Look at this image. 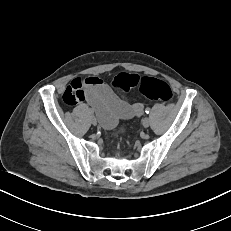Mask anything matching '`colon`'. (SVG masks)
Masks as SVG:
<instances>
[{"instance_id":"5ec220e1","label":"colon","mask_w":231,"mask_h":231,"mask_svg":"<svg viewBox=\"0 0 231 231\" xmlns=\"http://www.w3.org/2000/svg\"><path fill=\"white\" fill-rule=\"evenodd\" d=\"M111 85L123 94H126L133 88H137L144 97L151 100L168 102L172 98V90L168 83L156 78L119 73L114 77Z\"/></svg>"}]
</instances>
